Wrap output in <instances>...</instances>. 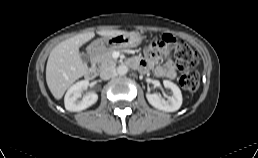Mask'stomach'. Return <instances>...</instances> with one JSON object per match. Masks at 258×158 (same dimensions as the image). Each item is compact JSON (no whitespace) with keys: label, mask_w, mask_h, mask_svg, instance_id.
<instances>
[{"label":"stomach","mask_w":258,"mask_h":158,"mask_svg":"<svg viewBox=\"0 0 258 158\" xmlns=\"http://www.w3.org/2000/svg\"><path fill=\"white\" fill-rule=\"evenodd\" d=\"M142 39V35L138 32H126L112 37L99 38L91 43V47L97 53H104L110 49L136 47Z\"/></svg>","instance_id":"obj_1"}]
</instances>
